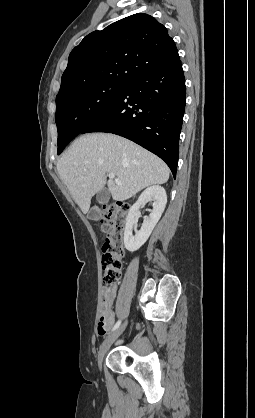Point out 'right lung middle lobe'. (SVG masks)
I'll list each match as a JSON object with an SVG mask.
<instances>
[{
    "label": "right lung middle lobe",
    "instance_id": "obj_1",
    "mask_svg": "<svg viewBox=\"0 0 255 418\" xmlns=\"http://www.w3.org/2000/svg\"><path fill=\"white\" fill-rule=\"evenodd\" d=\"M128 84L97 82L56 96L55 121L60 154L69 142L103 114Z\"/></svg>",
    "mask_w": 255,
    "mask_h": 418
}]
</instances>
